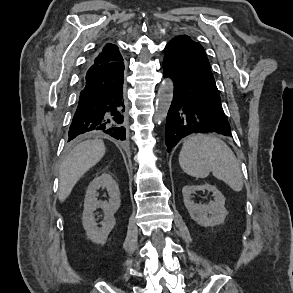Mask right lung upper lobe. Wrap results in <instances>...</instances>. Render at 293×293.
Returning a JSON list of instances; mask_svg holds the SVG:
<instances>
[{
    "mask_svg": "<svg viewBox=\"0 0 293 293\" xmlns=\"http://www.w3.org/2000/svg\"><path fill=\"white\" fill-rule=\"evenodd\" d=\"M123 58L119 49L114 44H107L103 49L99 50L90 60L89 65H101L114 62H122Z\"/></svg>",
    "mask_w": 293,
    "mask_h": 293,
    "instance_id": "cb5924a9",
    "label": "right lung upper lobe"
}]
</instances>
